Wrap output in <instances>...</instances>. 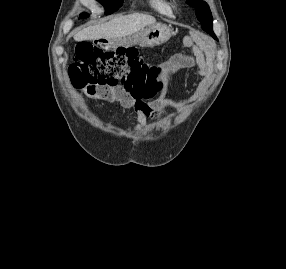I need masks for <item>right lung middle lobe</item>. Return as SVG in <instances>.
<instances>
[{"instance_id":"1","label":"right lung middle lobe","mask_w":286,"mask_h":269,"mask_svg":"<svg viewBox=\"0 0 286 269\" xmlns=\"http://www.w3.org/2000/svg\"><path fill=\"white\" fill-rule=\"evenodd\" d=\"M102 3L106 9L105 14H111L112 12L116 11L123 0H98ZM81 18L87 17V14L83 13L80 15Z\"/></svg>"}]
</instances>
